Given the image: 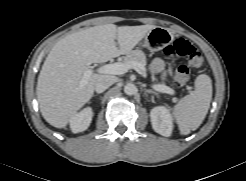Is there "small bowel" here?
Wrapping results in <instances>:
<instances>
[{
  "label": "small bowel",
  "mask_w": 246,
  "mask_h": 181,
  "mask_svg": "<svg viewBox=\"0 0 246 181\" xmlns=\"http://www.w3.org/2000/svg\"><path fill=\"white\" fill-rule=\"evenodd\" d=\"M164 67V63L161 59L157 58L152 63V69L156 72L162 71Z\"/></svg>",
  "instance_id": "obj_1"
}]
</instances>
